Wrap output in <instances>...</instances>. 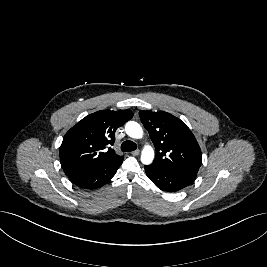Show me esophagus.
<instances>
[{
	"mask_svg": "<svg viewBox=\"0 0 267 267\" xmlns=\"http://www.w3.org/2000/svg\"><path fill=\"white\" fill-rule=\"evenodd\" d=\"M131 154L134 155V156H138L140 154V150L132 151Z\"/></svg>",
	"mask_w": 267,
	"mask_h": 267,
	"instance_id": "obj_1",
	"label": "esophagus"
}]
</instances>
